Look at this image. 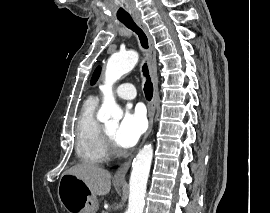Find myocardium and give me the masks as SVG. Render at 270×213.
Returning <instances> with one entry per match:
<instances>
[{
    "instance_id": "1",
    "label": "myocardium",
    "mask_w": 270,
    "mask_h": 213,
    "mask_svg": "<svg viewBox=\"0 0 270 213\" xmlns=\"http://www.w3.org/2000/svg\"><path fill=\"white\" fill-rule=\"evenodd\" d=\"M103 137H104L106 150H107L109 156L119 154L120 151H119L118 147L116 146L112 136L109 134V132L106 130L105 127H103Z\"/></svg>"
}]
</instances>
